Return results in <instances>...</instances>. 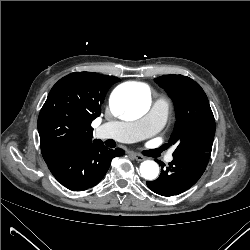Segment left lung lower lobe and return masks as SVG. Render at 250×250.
Returning <instances> with one entry per match:
<instances>
[{
	"label": "left lung lower lobe",
	"mask_w": 250,
	"mask_h": 250,
	"mask_svg": "<svg viewBox=\"0 0 250 250\" xmlns=\"http://www.w3.org/2000/svg\"><path fill=\"white\" fill-rule=\"evenodd\" d=\"M211 153H189L174 157L166 170L154 181H147L150 190L161 196L179 195L192 187L202 176Z\"/></svg>",
	"instance_id": "left-lung-lower-lobe-1"
}]
</instances>
